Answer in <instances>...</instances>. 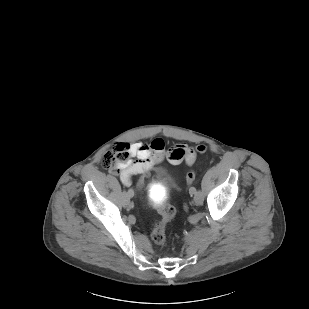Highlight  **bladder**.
<instances>
[{
	"label": "bladder",
	"instance_id": "31cf9c89",
	"mask_svg": "<svg viewBox=\"0 0 309 309\" xmlns=\"http://www.w3.org/2000/svg\"><path fill=\"white\" fill-rule=\"evenodd\" d=\"M147 192H148V196L150 198V201L153 203V204H160L161 201H160V198H161V193L159 191V189L157 188V186L153 183H150L148 185V188H147Z\"/></svg>",
	"mask_w": 309,
	"mask_h": 309
}]
</instances>
